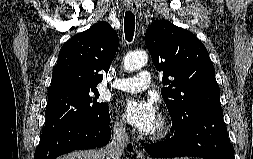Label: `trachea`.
<instances>
[{
    "label": "trachea",
    "mask_w": 253,
    "mask_h": 159,
    "mask_svg": "<svg viewBox=\"0 0 253 159\" xmlns=\"http://www.w3.org/2000/svg\"><path fill=\"white\" fill-rule=\"evenodd\" d=\"M135 30V16L131 11L125 13L124 32L127 41H132Z\"/></svg>",
    "instance_id": "trachea-1"
}]
</instances>
